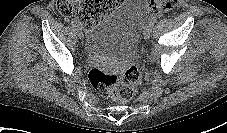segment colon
<instances>
[{"instance_id":"5ec220e1","label":"colon","mask_w":227,"mask_h":133,"mask_svg":"<svg viewBox=\"0 0 227 133\" xmlns=\"http://www.w3.org/2000/svg\"><path fill=\"white\" fill-rule=\"evenodd\" d=\"M120 2L121 0H58L57 9L62 15L74 16L84 26L90 27ZM174 5L175 0H150V7L155 11L168 12ZM88 78L96 91L118 103L131 100L142 80L137 66H131L120 74L94 68L89 72Z\"/></svg>"}]
</instances>
